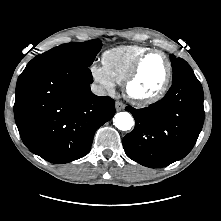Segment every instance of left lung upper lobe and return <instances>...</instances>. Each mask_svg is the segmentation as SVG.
<instances>
[{"instance_id":"1","label":"left lung upper lobe","mask_w":221,"mask_h":221,"mask_svg":"<svg viewBox=\"0 0 221 221\" xmlns=\"http://www.w3.org/2000/svg\"><path fill=\"white\" fill-rule=\"evenodd\" d=\"M172 69H173V78L172 82H177L178 80L188 77L194 76V72L189 64L183 60L182 58H175V56H171Z\"/></svg>"}]
</instances>
